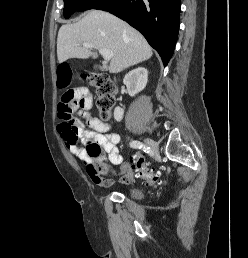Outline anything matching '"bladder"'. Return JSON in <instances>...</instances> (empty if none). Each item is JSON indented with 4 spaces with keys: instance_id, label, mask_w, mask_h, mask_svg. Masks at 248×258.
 I'll list each match as a JSON object with an SVG mask.
<instances>
[{
    "instance_id": "1",
    "label": "bladder",
    "mask_w": 248,
    "mask_h": 258,
    "mask_svg": "<svg viewBox=\"0 0 248 258\" xmlns=\"http://www.w3.org/2000/svg\"><path fill=\"white\" fill-rule=\"evenodd\" d=\"M129 194L134 199H140L143 196L142 191L139 188L133 187L129 190Z\"/></svg>"
}]
</instances>
